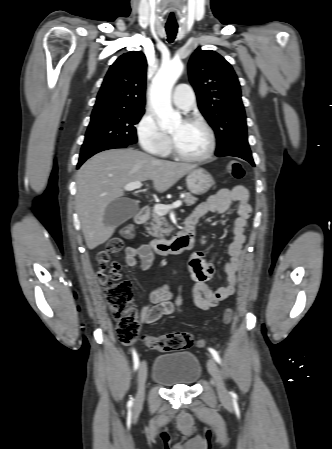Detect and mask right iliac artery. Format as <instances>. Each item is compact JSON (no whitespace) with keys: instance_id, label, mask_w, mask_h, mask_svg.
<instances>
[{"instance_id":"82829eb1","label":"right iliac artery","mask_w":332,"mask_h":449,"mask_svg":"<svg viewBox=\"0 0 332 449\" xmlns=\"http://www.w3.org/2000/svg\"><path fill=\"white\" fill-rule=\"evenodd\" d=\"M132 354H133L134 370H137L138 366H139V357L134 349H132ZM132 405H133V399L130 398V400L128 402V406L131 407Z\"/></svg>"}]
</instances>
